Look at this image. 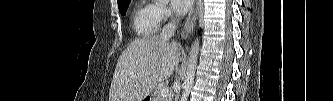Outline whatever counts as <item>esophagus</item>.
Returning a JSON list of instances; mask_svg holds the SVG:
<instances>
[{"label":"esophagus","instance_id":"1","mask_svg":"<svg viewBox=\"0 0 333 101\" xmlns=\"http://www.w3.org/2000/svg\"><path fill=\"white\" fill-rule=\"evenodd\" d=\"M200 0H195L187 16L185 25L183 27L181 38L186 39L193 31L196 25V20L199 13Z\"/></svg>","mask_w":333,"mask_h":101}]
</instances>
